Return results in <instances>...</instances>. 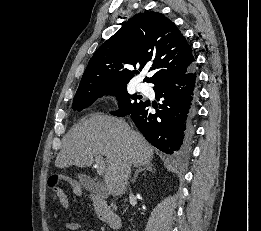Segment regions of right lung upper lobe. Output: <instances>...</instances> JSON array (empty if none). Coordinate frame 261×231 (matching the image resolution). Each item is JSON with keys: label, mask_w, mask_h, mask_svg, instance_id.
Returning <instances> with one entry per match:
<instances>
[{"label": "right lung upper lobe", "mask_w": 261, "mask_h": 231, "mask_svg": "<svg viewBox=\"0 0 261 231\" xmlns=\"http://www.w3.org/2000/svg\"><path fill=\"white\" fill-rule=\"evenodd\" d=\"M194 62L190 45L172 21L158 12L139 13L94 53L75 96L126 86L137 73L131 66L152 65L156 72L145 81L156 84L186 73Z\"/></svg>", "instance_id": "right-lung-upper-lobe-1"}]
</instances>
